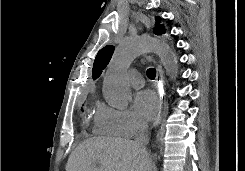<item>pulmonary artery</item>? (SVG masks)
Returning <instances> with one entry per match:
<instances>
[{
	"label": "pulmonary artery",
	"instance_id": "1",
	"mask_svg": "<svg viewBox=\"0 0 245 171\" xmlns=\"http://www.w3.org/2000/svg\"><path fill=\"white\" fill-rule=\"evenodd\" d=\"M127 79L134 88H141L143 86L142 75L136 70L129 71L127 73Z\"/></svg>",
	"mask_w": 245,
	"mask_h": 171
}]
</instances>
